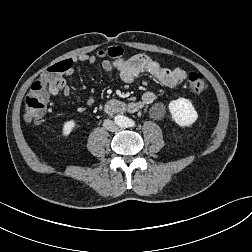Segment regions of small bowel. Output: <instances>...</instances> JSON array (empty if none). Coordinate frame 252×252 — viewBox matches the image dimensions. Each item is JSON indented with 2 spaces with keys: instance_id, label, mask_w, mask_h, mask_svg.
I'll return each mask as SVG.
<instances>
[{
  "instance_id": "c3829d8e",
  "label": "small bowel",
  "mask_w": 252,
  "mask_h": 252,
  "mask_svg": "<svg viewBox=\"0 0 252 252\" xmlns=\"http://www.w3.org/2000/svg\"><path fill=\"white\" fill-rule=\"evenodd\" d=\"M66 61L69 63L70 67L65 73L66 75H71L73 73V64L75 62H87L90 65H94L96 63V58L92 55L81 54ZM102 67L107 73H110L112 70L118 71L120 78L125 83H133L141 74L148 73L164 86L174 87L178 83L184 81L187 77L185 70L178 67H162L158 62L145 54H137L127 59L120 58L113 62L106 60L102 63ZM48 92L53 96L63 95L68 97L71 93V88L65 79L60 78L57 84L49 87ZM155 99L156 95L151 91H147L142 95L139 101L129 102L127 104V110L129 112L142 110L151 105ZM87 102L89 105L94 103L93 94L88 97Z\"/></svg>"
}]
</instances>
